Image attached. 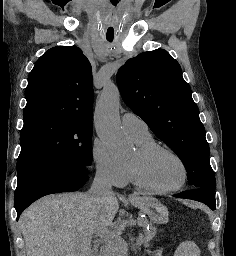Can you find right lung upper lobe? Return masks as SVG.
<instances>
[{
    "instance_id": "obj_1",
    "label": "right lung upper lobe",
    "mask_w": 236,
    "mask_h": 256,
    "mask_svg": "<svg viewBox=\"0 0 236 256\" xmlns=\"http://www.w3.org/2000/svg\"><path fill=\"white\" fill-rule=\"evenodd\" d=\"M24 121L53 117L92 122V69L82 51L57 46L46 51L29 74Z\"/></svg>"
}]
</instances>
